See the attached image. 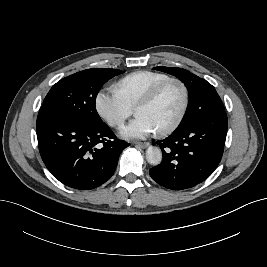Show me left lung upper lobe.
Wrapping results in <instances>:
<instances>
[{
	"mask_svg": "<svg viewBox=\"0 0 267 267\" xmlns=\"http://www.w3.org/2000/svg\"><path fill=\"white\" fill-rule=\"evenodd\" d=\"M156 70L176 76L187 87L189 106L181 124L176 130L184 129L200 121L205 110L226 115L222 101L215 88L206 80L182 68L155 67Z\"/></svg>",
	"mask_w": 267,
	"mask_h": 267,
	"instance_id": "5c2ea615",
	"label": "left lung upper lobe"
}]
</instances>
